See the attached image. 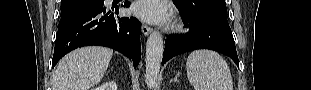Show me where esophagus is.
I'll list each match as a JSON object with an SVG mask.
<instances>
[{
  "label": "esophagus",
  "instance_id": "1",
  "mask_svg": "<svg viewBox=\"0 0 311 90\" xmlns=\"http://www.w3.org/2000/svg\"><path fill=\"white\" fill-rule=\"evenodd\" d=\"M141 29H142L143 35L145 36L149 35V33L151 32V28L147 26L145 23L142 24Z\"/></svg>",
  "mask_w": 311,
  "mask_h": 90
}]
</instances>
